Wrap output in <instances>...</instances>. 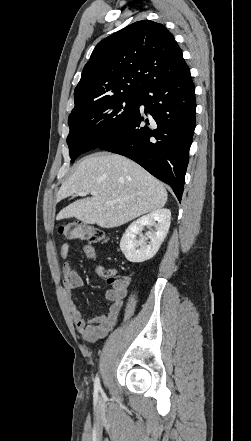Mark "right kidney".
Here are the masks:
<instances>
[{
	"mask_svg": "<svg viewBox=\"0 0 251 441\" xmlns=\"http://www.w3.org/2000/svg\"><path fill=\"white\" fill-rule=\"evenodd\" d=\"M171 220L169 209H158L132 222L120 241V249L126 259L133 263H141L151 259L164 241ZM155 226V231L141 234L144 226ZM140 238L137 240L136 235ZM147 240H150L147 242Z\"/></svg>",
	"mask_w": 251,
	"mask_h": 441,
	"instance_id": "obj_1",
	"label": "right kidney"
}]
</instances>
